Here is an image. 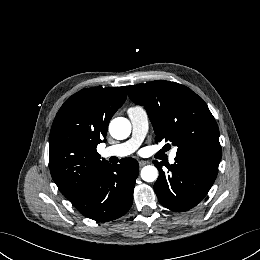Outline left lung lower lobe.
Returning <instances> with one entry per match:
<instances>
[{
  "instance_id": "1",
  "label": "left lung lower lobe",
  "mask_w": 260,
  "mask_h": 260,
  "mask_svg": "<svg viewBox=\"0 0 260 260\" xmlns=\"http://www.w3.org/2000/svg\"><path fill=\"white\" fill-rule=\"evenodd\" d=\"M159 170L154 190L159 202L173 211H187L196 206L214 183L220 158L199 154H176L173 165L153 161Z\"/></svg>"
}]
</instances>
